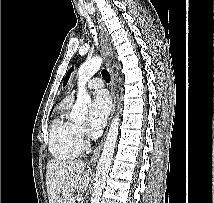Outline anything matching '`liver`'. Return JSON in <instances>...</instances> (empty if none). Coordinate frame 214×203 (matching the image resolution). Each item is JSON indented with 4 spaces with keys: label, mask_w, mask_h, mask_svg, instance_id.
Here are the masks:
<instances>
[{
    "label": "liver",
    "mask_w": 214,
    "mask_h": 203,
    "mask_svg": "<svg viewBox=\"0 0 214 203\" xmlns=\"http://www.w3.org/2000/svg\"><path fill=\"white\" fill-rule=\"evenodd\" d=\"M82 160L47 163L46 186L49 203H66L74 192H82L89 184V171Z\"/></svg>",
    "instance_id": "liver-1"
}]
</instances>
